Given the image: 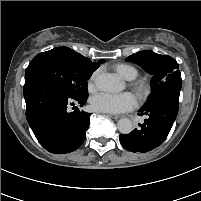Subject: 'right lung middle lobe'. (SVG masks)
I'll return each mask as SVG.
<instances>
[{"label":"right lung middle lobe","instance_id":"obj_1","mask_svg":"<svg viewBox=\"0 0 201 201\" xmlns=\"http://www.w3.org/2000/svg\"><path fill=\"white\" fill-rule=\"evenodd\" d=\"M91 74L80 70L68 59L63 47L39 53L25 71V80L40 77L60 86L73 99L88 98L87 80Z\"/></svg>","mask_w":201,"mask_h":201}]
</instances>
